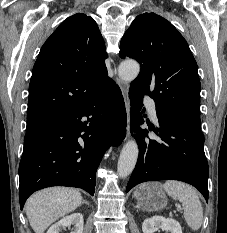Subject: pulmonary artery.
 Instances as JSON below:
<instances>
[{
  "label": "pulmonary artery",
  "instance_id": "e3ab8cb5",
  "mask_svg": "<svg viewBox=\"0 0 227 233\" xmlns=\"http://www.w3.org/2000/svg\"><path fill=\"white\" fill-rule=\"evenodd\" d=\"M145 106L147 107V110L152 117L153 120H157V113H156V106L155 103L152 99L150 98H145L144 100Z\"/></svg>",
  "mask_w": 227,
  "mask_h": 233
}]
</instances>
